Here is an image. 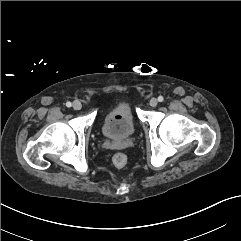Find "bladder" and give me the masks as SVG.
<instances>
[{
	"mask_svg": "<svg viewBox=\"0 0 241 241\" xmlns=\"http://www.w3.org/2000/svg\"><path fill=\"white\" fill-rule=\"evenodd\" d=\"M137 129L135 117L126 100H118L111 105L101 121L102 133L110 139H125Z\"/></svg>",
	"mask_w": 241,
	"mask_h": 241,
	"instance_id": "1",
	"label": "bladder"
}]
</instances>
